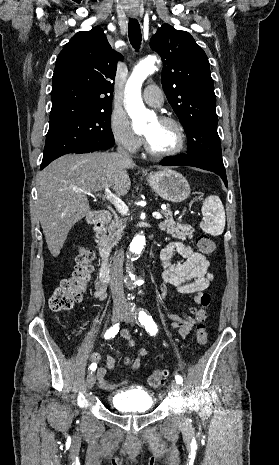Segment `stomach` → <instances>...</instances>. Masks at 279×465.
Wrapping results in <instances>:
<instances>
[{"mask_svg": "<svg viewBox=\"0 0 279 465\" xmlns=\"http://www.w3.org/2000/svg\"><path fill=\"white\" fill-rule=\"evenodd\" d=\"M147 181L156 194L169 202H182L189 197L191 192L186 178L170 168L151 173Z\"/></svg>", "mask_w": 279, "mask_h": 465, "instance_id": "obj_1", "label": "stomach"}]
</instances>
